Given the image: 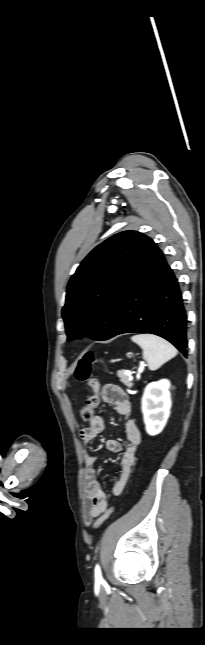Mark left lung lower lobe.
<instances>
[{
	"instance_id": "left-lung-lower-lobe-1",
	"label": "left lung lower lobe",
	"mask_w": 205,
	"mask_h": 645,
	"mask_svg": "<svg viewBox=\"0 0 205 645\" xmlns=\"http://www.w3.org/2000/svg\"><path fill=\"white\" fill-rule=\"evenodd\" d=\"M130 332L163 337L187 356V315L179 284L147 236L123 288L116 328L107 339Z\"/></svg>"
}]
</instances>
